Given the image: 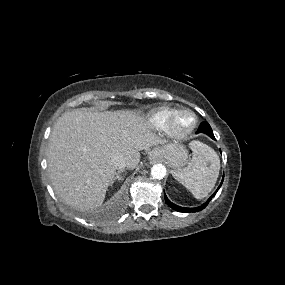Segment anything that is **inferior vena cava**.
<instances>
[{
    "label": "inferior vena cava",
    "instance_id": "1",
    "mask_svg": "<svg viewBox=\"0 0 285 285\" xmlns=\"http://www.w3.org/2000/svg\"><path fill=\"white\" fill-rule=\"evenodd\" d=\"M113 163L116 167V169L122 170L125 167H127V161L125 160V158L121 157V156H117L113 159Z\"/></svg>",
    "mask_w": 285,
    "mask_h": 285
}]
</instances>
